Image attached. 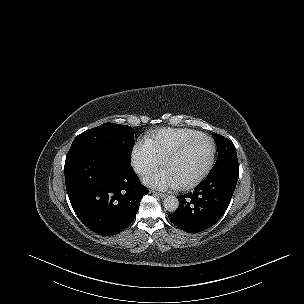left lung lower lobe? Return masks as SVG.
Instances as JSON below:
<instances>
[{"label": "left lung lower lobe", "mask_w": 304, "mask_h": 304, "mask_svg": "<svg viewBox=\"0 0 304 304\" xmlns=\"http://www.w3.org/2000/svg\"><path fill=\"white\" fill-rule=\"evenodd\" d=\"M239 178V165H231L208 176L193 192L178 196L180 207L170 221L188 233L214 225L225 213Z\"/></svg>", "instance_id": "0a47b994"}]
</instances>
